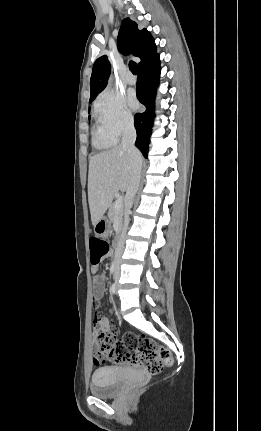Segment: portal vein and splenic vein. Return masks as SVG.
Segmentation results:
<instances>
[{
  "mask_svg": "<svg viewBox=\"0 0 261 431\" xmlns=\"http://www.w3.org/2000/svg\"><path fill=\"white\" fill-rule=\"evenodd\" d=\"M114 206H115V209H116V210H119L120 208H122V198H118V199L115 201Z\"/></svg>",
  "mask_w": 261,
  "mask_h": 431,
  "instance_id": "18ae733b",
  "label": "portal vein and splenic vein"
}]
</instances>
